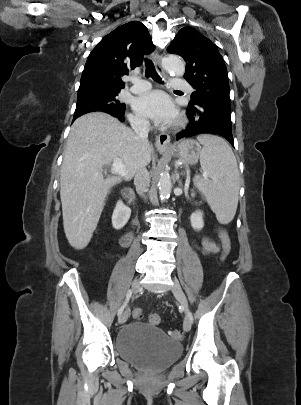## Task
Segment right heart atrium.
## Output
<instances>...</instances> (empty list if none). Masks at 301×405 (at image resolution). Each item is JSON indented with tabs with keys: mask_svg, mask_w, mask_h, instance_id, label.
I'll use <instances>...</instances> for the list:
<instances>
[{
	"mask_svg": "<svg viewBox=\"0 0 301 405\" xmlns=\"http://www.w3.org/2000/svg\"><path fill=\"white\" fill-rule=\"evenodd\" d=\"M129 120L134 127H146L147 126V121L138 115H130Z\"/></svg>",
	"mask_w": 301,
	"mask_h": 405,
	"instance_id": "1",
	"label": "right heart atrium"
}]
</instances>
